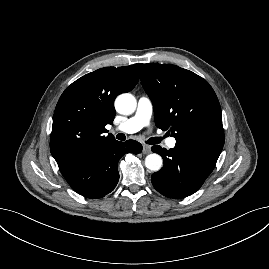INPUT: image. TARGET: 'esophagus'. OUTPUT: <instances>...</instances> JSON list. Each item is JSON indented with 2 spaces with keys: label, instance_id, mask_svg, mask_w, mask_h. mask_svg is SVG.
<instances>
[{
  "label": "esophagus",
  "instance_id": "1",
  "mask_svg": "<svg viewBox=\"0 0 269 269\" xmlns=\"http://www.w3.org/2000/svg\"><path fill=\"white\" fill-rule=\"evenodd\" d=\"M151 153V147L148 145H143V154Z\"/></svg>",
  "mask_w": 269,
  "mask_h": 269
}]
</instances>
